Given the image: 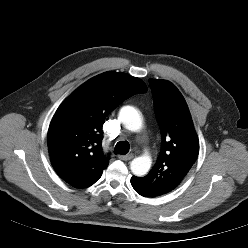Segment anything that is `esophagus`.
Here are the masks:
<instances>
[{"label": "esophagus", "instance_id": "esophagus-1", "mask_svg": "<svg viewBox=\"0 0 248 248\" xmlns=\"http://www.w3.org/2000/svg\"><path fill=\"white\" fill-rule=\"evenodd\" d=\"M119 159L124 160V161H129L134 158L133 154H128V155H119Z\"/></svg>", "mask_w": 248, "mask_h": 248}]
</instances>
